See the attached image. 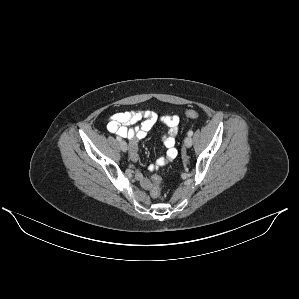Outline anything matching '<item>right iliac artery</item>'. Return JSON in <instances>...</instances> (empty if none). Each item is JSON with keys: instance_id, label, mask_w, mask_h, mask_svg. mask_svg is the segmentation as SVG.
<instances>
[{"instance_id": "1", "label": "right iliac artery", "mask_w": 299, "mask_h": 299, "mask_svg": "<svg viewBox=\"0 0 299 299\" xmlns=\"http://www.w3.org/2000/svg\"><path fill=\"white\" fill-rule=\"evenodd\" d=\"M116 139H117L118 141H121V137H119V136H117Z\"/></svg>"}]
</instances>
